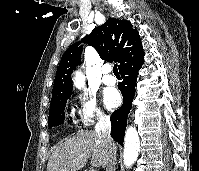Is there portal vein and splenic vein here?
<instances>
[{
    "label": "portal vein and splenic vein",
    "instance_id": "portal-vein-and-splenic-vein-1",
    "mask_svg": "<svg viewBox=\"0 0 199 171\" xmlns=\"http://www.w3.org/2000/svg\"><path fill=\"white\" fill-rule=\"evenodd\" d=\"M91 171H96L95 169H92Z\"/></svg>",
    "mask_w": 199,
    "mask_h": 171
}]
</instances>
